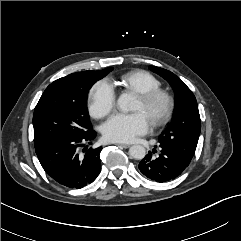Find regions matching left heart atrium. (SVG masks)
Here are the masks:
<instances>
[{
  "label": "left heart atrium",
  "instance_id": "39dd6f15",
  "mask_svg": "<svg viewBox=\"0 0 241 241\" xmlns=\"http://www.w3.org/2000/svg\"><path fill=\"white\" fill-rule=\"evenodd\" d=\"M150 128V119L143 112L120 113L112 116L103 125V135L110 142L129 143L146 134Z\"/></svg>",
  "mask_w": 241,
  "mask_h": 241
}]
</instances>
